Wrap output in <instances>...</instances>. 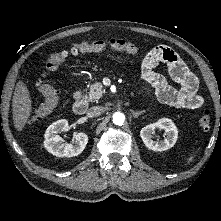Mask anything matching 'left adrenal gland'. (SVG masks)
<instances>
[{
    "instance_id": "a2214340",
    "label": "left adrenal gland",
    "mask_w": 221,
    "mask_h": 221,
    "mask_svg": "<svg viewBox=\"0 0 221 221\" xmlns=\"http://www.w3.org/2000/svg\"><path fill=\"white\" fill-rule=\"evenodd\" d=\"M144 112H145V110H141V111H137V112L132 111V116H133L134 118H138L139 115L142 114V113H144Z\"/></svg>"
}]
</instances>
